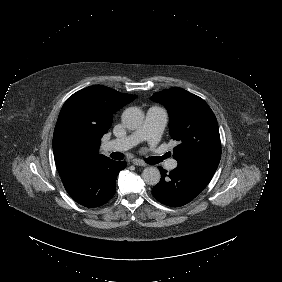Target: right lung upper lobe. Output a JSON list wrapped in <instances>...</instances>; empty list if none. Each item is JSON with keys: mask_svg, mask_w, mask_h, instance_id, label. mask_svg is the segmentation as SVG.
Here are the masks:
<instances>
[{"mask_svg": "<svg viewBox=\"0 0 282 282\" xmlns=\"http://www.w3.org/2000/svg\"><path fill=\"white\" fill-rule=\"evenodd\" d=\"M137 96L103 85L84 88L63 105L53 135L58 173L105 157L99 154L100 140L108 132L113 114Z\"/></svg>", "mask_w": 282, "mask_h": 282, "instance_id": "right-lung-upper-lobe-1", "label": "right lung upper lobe"}]
</instances>
